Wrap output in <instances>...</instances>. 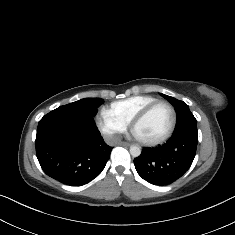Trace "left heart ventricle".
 <instances>
[{
	"label": "left heart ventricle",
	"mask_w": 235,
	"mask_h": 235,
	"mask_svg": "<svg viewBox=\"0 0 235 235\" xmlns=\"http://www.w3.org/2000/svg\"><path fill=\"white\" fill-rule=\"evenodd\" d=\"M171 124V112L167 106H159L134 129L135 136L150 141L164 136Z\"/></svg>",
	"instance_id": "1"
}]
</instances>
